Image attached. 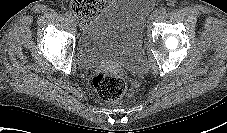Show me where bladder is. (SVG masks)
Masks as SVG:
<instances>
[{
  "instance_id": "1",
  "label": "bladder",
  "mask_w": 227,
  "mask_h": 133,
  "mask_svg": "<svg viewBox=\"0 0 227 133\" xmlns=\"http://www.w3.org/2000/svg\"><path fill=\"white\" fill-rule=\"evenodd\" d=\"M154 0H112L85 25L77 41L80 67L117 64L139 72L144 68L143 33Z\"/></svg>"
}]
</instances>
